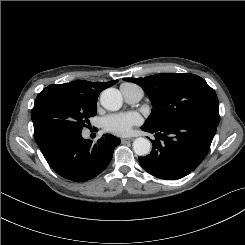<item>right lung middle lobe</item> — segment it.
Masks as SVG:
<instances>
[{
  "mask_svg": "<svg viewBox=\"0 0 245 245\" xmlns=\"http://www.w3.org/2000/svg\"><path fill=\"white\" fill-rule=\"evenodd\" d=\"M97 99L86 97L62 84L50 85L37 96L31 111L37 144L56 133L81 132L96 115Z\"/></svg>",
  "mask_w": 245,
  "mask_h": 245,
  "instance_id": "1",
  "label": "right lung middle lobe"
}]
</instances>
